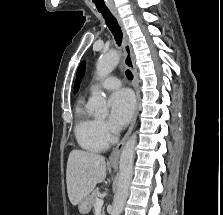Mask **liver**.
<instances>
[{
	"instance_id": "1",
	"label": "liver",
	"mask_w": 223,
	"mask_h": 215,
	"mask_svg": "<svg viewBox=\"0 0 223 215\" xmlns=\"http://www.w3.org/2000/svg\"><path fill=\"white\" fill-rule=\"evenodd\" d=\"M106 177V161L103 155L72 149L69 153L66 169L68 197L72 205L93 191L96 183Z\"/></svg>"
}]
</instances>
